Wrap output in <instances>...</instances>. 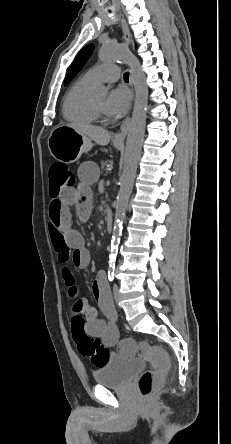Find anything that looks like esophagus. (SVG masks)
I'll list each match as a JSON object with an SVG mask.
<instances>
[{"mask_svg": "<svg viewBox=\"0 0 231 444\" xmlns=\"http://www.w3.org/2000/svg\"><path fill=\"white\" fill-rule=\"evenodd\" d=\"M122 28H123V32H124V37L126 39V41L130 40V34H129V28L127 26V23L124 19H122ZM129 125H130V117H127L121 124L120 126V131L115 134L113 140L115 142L118 143H123L126 137V134L128 132L129 129Z\"/></svg>", "mask_w": 231, "mask_h": 444, "instance_id": "esophagus-1", "label": "esophagus"}]
</instances>
